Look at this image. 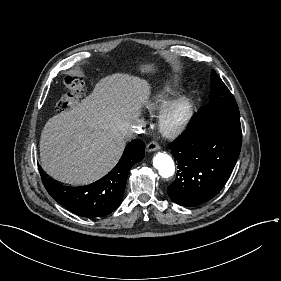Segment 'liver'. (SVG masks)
<instances>
[{
    "label": "liver",
    "mask_w": 281,
    "mask_h": 281,
    "mask_svg": "<svg viewBox=\"0 0 281 281\" xmlns=\"http://www.w3.org/2000/svg\"><path fill=\"white\" fill-rule=\"evenodd\" d=\"M146 80L127 74L99 79L71 110L47 120L41 131L42 169L69 184L97 180L114 167L131 140L132 124L150 106Z\"/></svg>",
    "instance_id": "obj_1"
}]
</instances>
